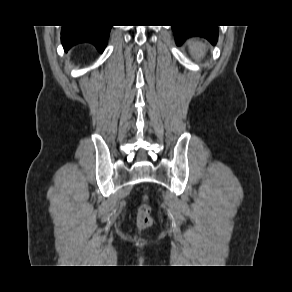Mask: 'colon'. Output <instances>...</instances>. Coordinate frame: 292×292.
Returning a JSON list of instances; mask_svg holds the SVG:
<instances>
[{
  "label": "colon",
  "mask_w": 292,
  "mask_h": 292,
  "mask_svg": "<svg viewBox=\"0 0 292 292\" xmlns=\"http://www.w3.org/2000/svg\"><path fill=\"white\" fill-rule=\"evenodd\" d=\"M152 223L153 219L151 217V207L147 202V198L144 197L138 208L137 225L140 229H146L150 227Z\"/></svg>",
  "instance_id": "5ec220e1"
}]
</instances>
